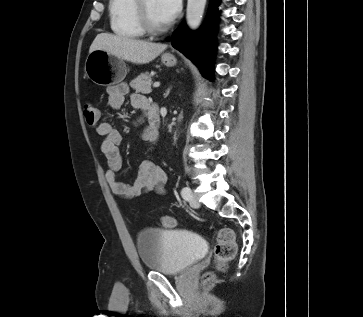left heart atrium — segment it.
Masks as SVG:
<instances>
[{
    "mask_svg": "<svg viewBox=\"0 0 363 317\" xmlns=\"http://www.w3.org/2000/svg\"><path fill=\"white\" fill-rule=\"evenodd\" d=\"M159 12L165 22H172L181 8V0H157Z\"/></svg>",
    "mask_w": 363,
    "mask_h": 317,
    "instance_id": "obj_1",
    "label": "left heart atrium"
}]
</instances>
